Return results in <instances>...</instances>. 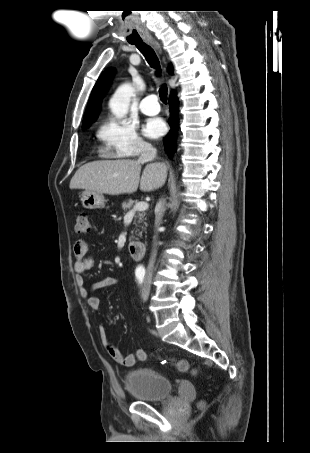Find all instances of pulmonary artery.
I'll list each match as a JSON object with an SVG mask.
<instances>
[{
  "instance_id": "e3ab8cb5",
  "label": "pulmonary artery",
  "mask_w": 310,
  "mask_h": 453,
  "mask_svg": "<svg viewBox=\"0 0 310 453\" xmlns=\"http://www.w3.org/2000/svg\"><path fill=\"white\" fill-rule=\"evenodd\" d=\"M140 110L142 113L149 116L157 115L160 112L157 96L155 94H150L143 98L140 103Z\"/></svg>"
}]
</instances>
